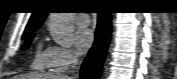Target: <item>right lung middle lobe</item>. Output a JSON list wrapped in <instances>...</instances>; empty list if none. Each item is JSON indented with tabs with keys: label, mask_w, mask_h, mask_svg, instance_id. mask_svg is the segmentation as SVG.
I'll list each match as a JSON object with an SVG mask.
<instances>
[{
	"label": "right lung middle lobe",
	"mask_w": 177,
	"mask_h": 79,
	"mask_svg": "<svg viewBox=\"0 0 177 79\" xmlns=\"http://www.w3.org/2000/svg\"><path fill=\"white\" fill-rule=\"evenodd\" d=\"M36 31V29L34 30H29V31H26L24 32L23 36H22V39H26L25 41V44L23 46V49H27L34 37L35 34H33L34 32Z\"/></svg>",
	"instance_id": "dd1d6c3e"
}]
</instances>
